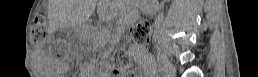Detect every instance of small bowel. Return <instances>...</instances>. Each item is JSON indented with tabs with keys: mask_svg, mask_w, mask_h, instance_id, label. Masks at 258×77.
<instances>
[{
	"mask_svg": "<svg viewBox=\"0 0 258 77\" xmlns=\"http://www.w3.org/2000/svg\"><path fill=\"white\" fill-rule=\"evenodd\" d=\"M136 50H138V54H137V58L141 63V69L143 70H147L150 67V60L148 57H146V55H144L142 52H140V48H136Z\"/></svg>",
	"mask_w": 258,
	"mask_h": 77,
	"instance_id": "c3829d8e",
	"label": "small bowel"
}]
</instances>
